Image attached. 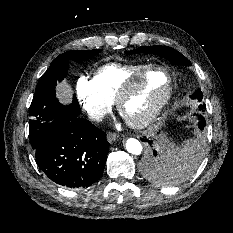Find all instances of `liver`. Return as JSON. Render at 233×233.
I'll use <instances>...</instances> for the list:
<instances>
[{
  "mask_svg": "<svg viewBox=\"0 0 233 233\" xmlns=\"http://www.w3.org/2000/svg\"><path fill=\"white\" fill-rule=\"evenodd\" d=\"M57 97L62 102L63 104L69 103L72 99V89L70 85L66 82L63 81L59 84H57Z\"/></svg>",
  "mask_w": 233,
  "mask_h": 233,
  "instance_id": "liver-1",
  "label": "liver"
}]
</instances>
